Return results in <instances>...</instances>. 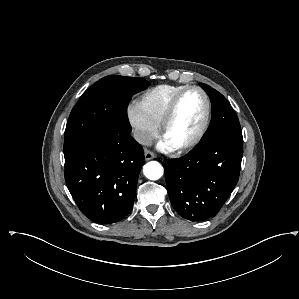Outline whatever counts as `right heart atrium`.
<instances>
[{
	"label": "right heart atrium",
	"mask_w": 299,
	"mask_h": 299,
	"mask_svg": "<svg viewBox=\"0 0 299 299\" xmlns=\"http://www.w3.org/2000/svg\"><path fill=\"white\" fill-rule=\"evenodd\" d=\"M128 119L133 128V136L139 144L147 145L157 135L158 126L143 113L137 103L129 106Z\"/></svg>",
	"instance_id": "d8ad5b80"
}]
</instances>
